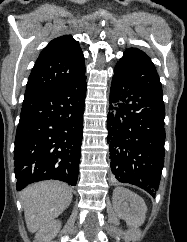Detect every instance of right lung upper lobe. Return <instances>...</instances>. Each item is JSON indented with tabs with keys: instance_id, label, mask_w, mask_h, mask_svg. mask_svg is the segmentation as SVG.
<instances>
[{
	"instance_id": "right-lung-upper-lobe-1",
	"label": "right lung upper lobe",
	"mask_w": 187,
	"mask_h": 242,
	"mask_svg": "<svg viewBox=\"0 0 187 242\" xmlns=\"http://www.w3.org/2000/svg\"><path fill=\"white\" fill-rule=\"evenodd\" d=\"M85 76L83 52L71 35L53 39L40 53L24 97L68 86Z\"/></svg>"
}]
</instances>
